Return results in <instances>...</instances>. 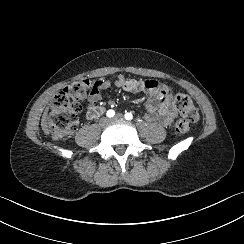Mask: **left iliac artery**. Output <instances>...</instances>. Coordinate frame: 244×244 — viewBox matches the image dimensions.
I'll list each match as a JSON object with an SVG mask.
<instances>
[{
  "label": "left iliac artery",
  "instance_id": "left-iliac-artery-1",
  "mask_svg": "<svg viewBox=\"0 0 244 244\" xmlns=\"http://www.w3.org/2000/svg\"><path fill=\"white\" fill-rule=\"evenodd\" d=\"M133 118V115L131 113H126L125 114V119L126 120H131Z\"/></svg>",
  "mask_w": 244,
  "mask_h": 244
}]
</instances>
